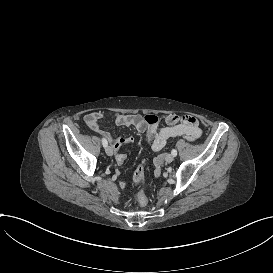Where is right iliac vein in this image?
Returning <instances> with one entry per match:
<instances>
[{
	"label": "right iliac vein",
	"mask_w": 273,
	"mask_h": 273,
	"mask_svg": "<svg viewBox=\"0 0 273 273\" xmlns=\"http://www.w3.org/2000/svg\"><path fill=\"white\" fill-rule=\"evenodd\" d=\"M105 152L108 156L113 155V149L110 146L105 147Z\"/></svg>",
	"instance_id": "1"
}]
</instances>
